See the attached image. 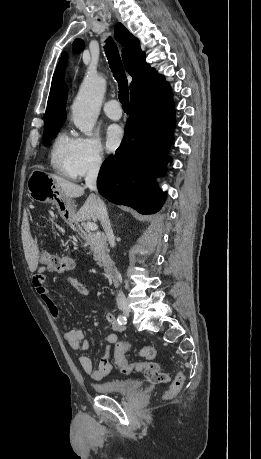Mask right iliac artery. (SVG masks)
Wrapping results in <instances>:
<instances>
[{"mask_svg":"<svg viewBox=\"0 0 261 459\" xmlns=\"http://www.w3.org/2000/svg\"><path fill=\"white\" fill-rule=\"evenodd\" d=\"M117 320L121 325H125L127 323V318L124 315H119Z\"/></svg>","mask_w":261,"mask_h":459,"instance_id":"1","label":"right iliac artery"}]
</instances>
